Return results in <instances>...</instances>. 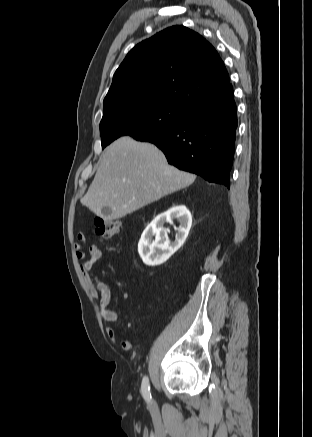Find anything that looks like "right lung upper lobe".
<instances>
[{"label":"right lung upper lobe","mask_w":312,"mask_h":437,"mask_svg":"<svg viewBox=\"0 0 312 437\" xmlns=\"http://www.w3.org/2000/svg\"><path fill=\"white\" fill-rule=\"evenodd\" d=\"M229 75L214 47L184 27L167 28L136 45L116 70L103 115L131 103L191 109L221 94Z\"/></svg>","instance_id":"cb5924a9"}]
</instances>
